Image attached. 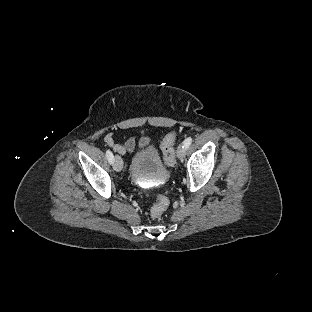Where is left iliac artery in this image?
I'll return each instance as SVG.
<instances>
[{"label": "left iliac artery", "mask_w": 312, "mask_h": 312, "mask_svg": "<svg viewBox=\"0 0 312 312\" xmlns=\"http://www.w3.org/2000/svg\"><path fill=\"white\" fill-rule=\"evenodd\" d=\"M192 143V138L191 137H188L187 139H185L184 141V145L186 148H188Z\"/></svg>", "instance_id": "1"}]
</instances>
